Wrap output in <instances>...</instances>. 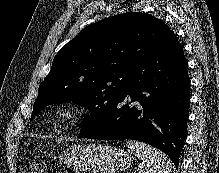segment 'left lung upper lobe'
Returning <instances> with one entry per match:
<instances>
[{"label":"left lung upper lobe","instance_id":"5c2ea615","mask_svg":"<svg viewBox=\"0 0 219 173\" xmlns=\"http://www.w3.org/2000/svg\"><path fill=\"white\" fill-rule=\"evenodd\" d=\"M171 32L147 13H124L84 28L54 57L31 118L47 105L72 101L91 111L79 136L97 131L130 91L134 67Z\"/></svg>","mask_w":219,"mask_h":173}]
</instances>
